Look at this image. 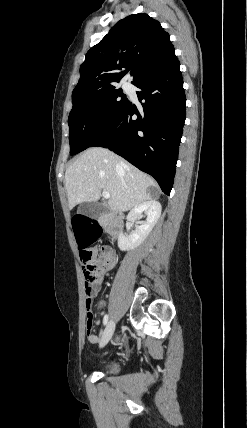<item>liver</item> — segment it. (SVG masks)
Instances as JSON below:
<instances>
[{
  "mask_svg": "<svg viewBox=\"0 0 247 428\" xmlns=\"http://www.w3.org/2000/svg\"><path fill=\"white\" fill-rule=\"evenodd\" d=\"M149 187L157 188L150 176L100 147L84 151L65 172L70 209L83 202H96L102 191H107L109 208L125 212L152 199Z\"/></svg>",
  "mask_w": 247,
  "mask_h": 428,
  "instance_id": "1",
  "label": "liver"
}]
</instances>
